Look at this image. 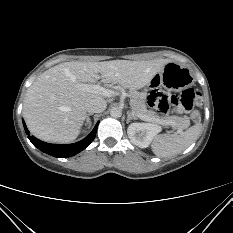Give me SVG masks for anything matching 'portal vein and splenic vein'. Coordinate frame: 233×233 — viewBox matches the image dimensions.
<instances>
[{
	"label": "portal vein and splenic vein",
	"instance_id": "1",
	"mask_svg": "<svg viewBox=\"0 0 233 233\" xmlns=\"http://www.w3.org/2000/svg\"><path fill=\"white\" fill-rule=\"evenodd\" d=\"M85 89L89 92H92V93H99L105 97H111L115 93V91H113V90L105 89V88L98 86V85H89ZM140 117L142 120H146L143 116H140ZM163 125L169 126V125H171V123L164 122Z\"/></svg>",
	"mask_w": 233,
	"mask_h": 233
}]
</instances>
